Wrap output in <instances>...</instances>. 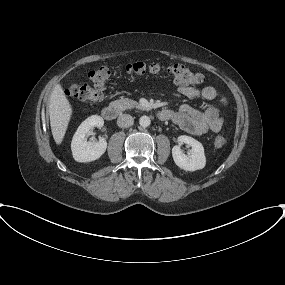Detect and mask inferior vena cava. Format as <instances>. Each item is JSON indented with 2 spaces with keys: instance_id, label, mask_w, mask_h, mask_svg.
Segmentation results:
<instances>
[{
  "instance_id": "1",
  "label": "inferior vena cava",
  "mask_w": 285,
  "mask_h": 285,
  "mask_svg": "<svg viewBox=\"0 0 285 285\" xmlns=\"http://www.w3.org/2000/svg\"><path fill=\"white\" fill-rule=\"evenodd\" d=\"M134 123V118L129 114H121L117 119V125L120 128H127L132 126Z\"/></svg>"
}]
</instances>
